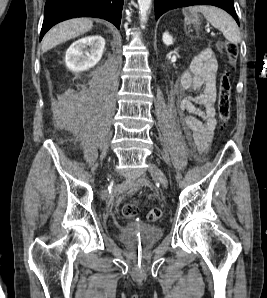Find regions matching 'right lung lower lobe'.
I'll use <instances>...</instances> for the list:
<instances>
[{"label":"right lung lower lobe","mask_w":267,"mask_h":298,"mask_svg":"<svg viewBox=\"0 0 267 298\" xmlns=\"http://www.w3.org/2000/svg\"><path fill=\"white\" fill-rule=\"evenodd\" d=\"M124 0H47L40 40L55 24L75 17L102 18L118 29Z\"/></svg>","instance_id":"right-lung-lower-lobe-1"}]
</instances>
